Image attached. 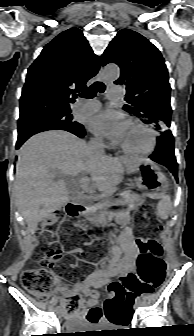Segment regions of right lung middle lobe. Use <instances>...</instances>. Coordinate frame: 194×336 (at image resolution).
<instances>
[{
    "mask_svg": "<svg viewBox=\"0 0 194 336\" xmlns=\"http://www.w3.org/2000/svg\"><path fill=\"white\" fill-rule=\"evenodd\" d=\"M71 110H42L32 116L19 119L18 137L46 130L77 131L83 126L72 120Z\"/></svg>",
    "mask_w": 194,
    "mask_h": 336,
    "instance_id": "1",
    "label": "right lung middle lobe"
}]
</instances>
